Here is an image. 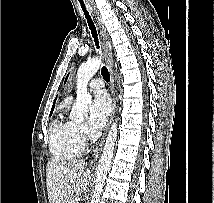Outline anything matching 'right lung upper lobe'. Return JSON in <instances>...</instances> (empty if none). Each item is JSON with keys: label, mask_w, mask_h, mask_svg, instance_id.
Masks as SVG:
<instances>
[{"label": "right lung upper lobe", "mask_w": 214, "mask_h": 203, "mask_svg": "<svg viewBox=\"0 0 214 203\" xmlns=\"http://www.w3.org/2000/svg\"><path fill=\"white\" fill-rule=\"evenodd\" d=\"M54 105H55V103L53 104V107H52V109H51L50 115H51V114H52V112H53Z\"/></svg>", "instance_id": "1"}]
</instances>
